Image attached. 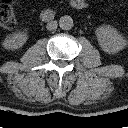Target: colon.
<instances>
[{
  "label": "colon",
  "mask_w": 128,
  "mask_h": 128,
  "mask_svg": "<svg viewBox=\"0 0 128 128\" xmlns=\"http://www.w3.org/2000/svg\"><path fill=\"white\" fill-rule=\"evenodd\" d=\"M15 25V13L11 0L0 1V26L12 28Z\"/></svg>",
  "instance_id": "obj_1"
}]
</instances>
